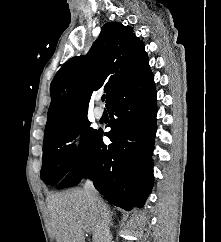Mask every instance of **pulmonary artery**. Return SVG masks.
Instances as JSON below:
<instances>
[{
    "mask_svg": "<svg viewBox=\"0 0 221 242\" xmlns=\"http://www.w3.org/2000/svg\"><path fill=\"white\" fill-rule=\"evenodd\" d=\"M104 111L101 107L96 106L94 108V116L96 119H101L103 117Z\"/></svg>",
    "mask_w": 221,
    "mask_h": 242,
    "instance_id": "1",
    "label": "pulmonary artery"
}]
</instances>
